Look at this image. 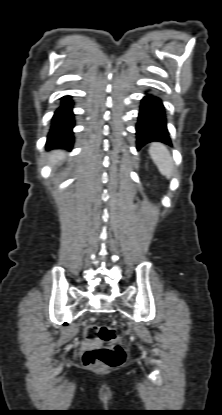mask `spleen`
<instances>
[{
  "label": "spleen",
  "instance_id": "obj_1",
  "mask_svg": "<svg viewBox=\"0 0 222 415\" xmlns=\"http://www.w3.org/2000/svg\"><path fill=\"white\" fill-rule=\"evenodd\" d=\"M149 154L160 173L170 178L173 175L174 162L167 147L160 142H153L150 145Z\"/></svg>",
  "mask_w": 222,
  "mask_h": 415
}]
</instances>
